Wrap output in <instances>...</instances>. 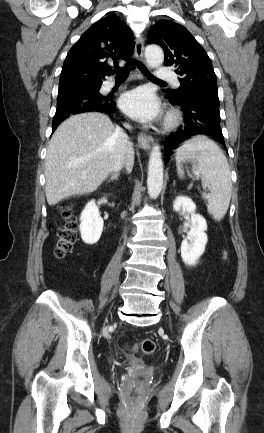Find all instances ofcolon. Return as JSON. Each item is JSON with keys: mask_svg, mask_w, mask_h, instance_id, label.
Segmentation results:
<instances>
[{"mask_svg": "<svg viewBox=\"0 0 264 433\" xmlns=\"http://www.w3.org/2000/svg\"><path fill=\"white\" fill-rule=\"evenodd\" d=\"M60 214L63 219V225L57 232V243L55 248V255L58 258L64 257L69 253L77 240V220L73 215L72 207L69 203H62L60 205ZM224 258L228 257L227 251H224ZM156 344L152 339H143L132 347V351H140L146 355L154 353Z\"/></svg>", "mask_w": 264, "mask_h": 433, "instance_id": "5ec220e1", "label": "colon"}]
</instances>
